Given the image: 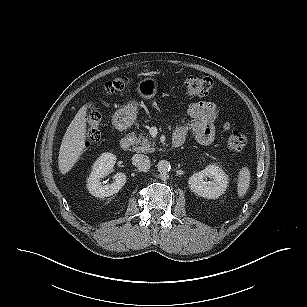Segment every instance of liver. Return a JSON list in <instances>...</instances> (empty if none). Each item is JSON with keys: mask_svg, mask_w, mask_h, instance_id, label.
<instances>
[{"mask_svg": "<svg viewBox=\"0 0 307 307\" xmlns=\"http://www.w3.org/2000/svg\"><path fill=\"white\" fill-rule=\"evenodd\" d=\"M87 105L82 106L68 126L59 150L58 166L61 174L68 173L85 151L87 135Z\"/></svg>", "mask_w": 307, "mask_h": 307, "instance_id": "6515ba94", "label": "liver"}]
</instances>
